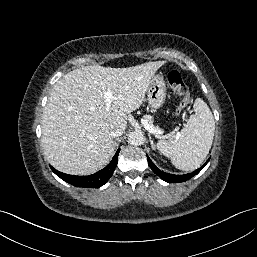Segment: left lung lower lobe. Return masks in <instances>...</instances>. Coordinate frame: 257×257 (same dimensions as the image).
I'll use <instances>...</instances> for the list:
<instances>
[{
    "mask_svg": "<svg viewBox=\"0 0 257 257\" xmlns=\"http://www.w3.org/2000/svg\"><path fill=\"white\" fill-rule=\"evenodd\" d=\"M147 159H148V164H149L150 168L162 180H164L166 182H169V183H179V182H183V181L189 180L190 178H192L193 176L198 174L204 168V166L208 163V161H209V159H208L207 162L202 167H200L199 169L195 170L192 173H188V174H184V175H173V174H169V173L163 172L160 169H158L148 156H147Z\"/></svg>",
    "mask_w": 257,
    "mask_h": 257,
    "instance_id": "0a47b994",
    "label": "left lung lower lobe"
}]
</instances>
